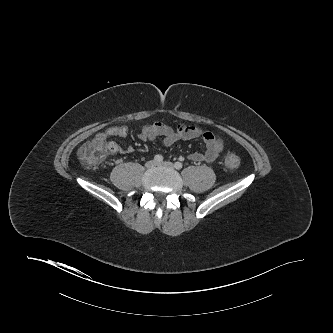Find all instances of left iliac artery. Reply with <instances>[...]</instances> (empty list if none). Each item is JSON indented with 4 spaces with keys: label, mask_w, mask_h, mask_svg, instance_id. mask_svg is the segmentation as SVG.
Masks as SVG:
<instances>
[{
    "label": "left iliac artery",
    "mask_w": 333,
    "mask_h": 333,
    "mask_svg": "<svg viewBox=\"0 0 333 333\" xmlns=\"http://www.w3.org/2000/svg\"><path fill=\"white\" fill-rule=\"evenodd\" d=\"M174 167H175L176 169L180 170V169H182L183 164H182L181 162H176V163L174 164Z\"/></svg>",
    "instance_id": "left-iliac-artery-1"
}]
</instances>
